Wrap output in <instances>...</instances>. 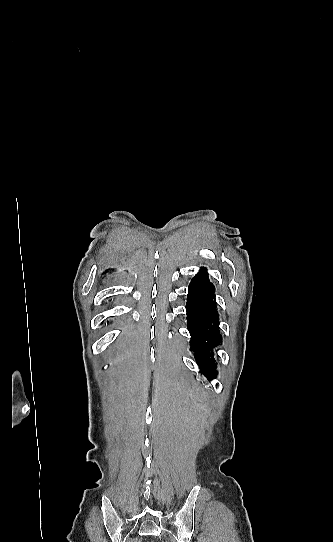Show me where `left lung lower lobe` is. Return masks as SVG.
I'll use <instances>...</instances> for the list:
<instances>
[{"label":"left lung lower lobe","mask_w":333,"mask_h":542,"mask_svg":"<svg viewBox=\"0 0 333 542\" xmlns=\"http://www.w3.org/2000/svg\"><path fill=\"white\" fill-rule=\"evenodd\" d=\"M215 287L206 271L198 273L188 287L187 328L191 335V350L203 374L215 378L217 364L211 351L221 342L219 317L215 306Z\"/></svg>","instance_id":"obj_1"}]
</instances>
